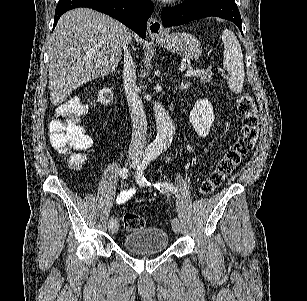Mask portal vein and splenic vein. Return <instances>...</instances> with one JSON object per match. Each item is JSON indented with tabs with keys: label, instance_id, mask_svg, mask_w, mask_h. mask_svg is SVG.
Segmentation results:
<instances>
[{
	"label": "portal vein and splenic vein",
	"instance_id": "18ae733b",
	"mask_svg": "<svg viewBox=\"0 0 307 301\" xmlns=\"http://www.w3.org/2000/svg\"><path fill=\"white\" fill-rule=\"evenodd\" d=\"M195 70L193 68H190V70H186L184 76H191V74H194Z\"/></svg>",
	"mask_w": 307,
	"mask_h": 301
}]
</instances>
